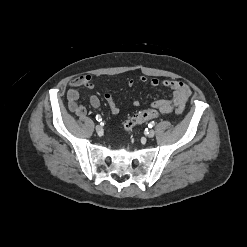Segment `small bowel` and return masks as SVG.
I'll return each mask as SVG.
<instances>
[{
    "instance_id": "1",
    "label": "small bowel",
    "mask_w": 247,
    "mask_h": 247,
    "mask_svg": "<svg viewBox=\"0 0 247 247\" xmlns=\"http://www.w3.org/2000/svg\"><path fill=\"white\" fill-rule=\"evenodd\" d=\"M138 81L140 83L149 82V84L153 87H156L162 83L164 87L169 88L172 91L171 99H159L151 104L154 109L159 110L163 114H180L184 110L185 105L191 95L189 86L181 81L166 79L160 82L157 78L148 79L146 76H141ZM134 84V80H128V86L132 87ZM79 87L93 89L95 87V82L90 75H81L69 82V89L67 91L68 108L77 116L83 117L86 115L87 110L84 106L78 104L77 102L80 97V92L78 90ZM88 99L93 108H98L100 106V99L98 96L91 94ZM105 100L113 114H118L120 112V107L115 103L110 94H105ZM133 105L138 107L140 105L139 100L135 99L133 101Z\"/></svg>"
}]
</instances>
